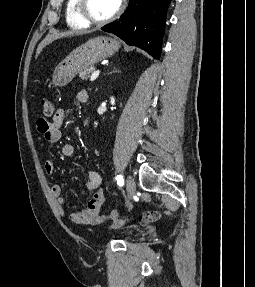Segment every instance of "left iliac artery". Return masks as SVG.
Wrapping results in <instances>:
<instances>
[{
  "label": "left iliac artery",
  "mask_w": 255,
  "mask_h": 287,
  "mask_svg": "<svg viewBox=\"0 0 255 287\" xmlns=\"http://www.w3.org/2000/svg\"><path fill=\"white\" fill-rule=\"evenodd\" d=\"M116 180H117V184L119 186H123L124 185V179H123V177L121 175H117Z\"/></svg>",
  "instance_id": "left-iliac-artery-1"
}]
</instances>
